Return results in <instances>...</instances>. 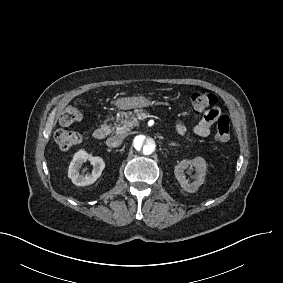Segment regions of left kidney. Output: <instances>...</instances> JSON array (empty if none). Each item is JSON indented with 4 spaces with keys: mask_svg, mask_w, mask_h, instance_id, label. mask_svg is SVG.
<instances>
[{
    "mask_svg": "<svg viewBox=\"0 0 283 283\" xmlns=\"http://www.w3.org/2000/svg\"><path fill=\"white\" fill-rule=\"evenodd\" d=\"M189 165L194 166L196 171L195 181L192 183L188 182L184 174V170L187 169ZM206 170L207 167L205 159L202 157H196L193 160H182L178 163L175 166L174 174L183 190L189 193H194L204 183Z\"/></svg>",
    "mask_w": 283,
    "mask_h": 283,
    "instance_id": "1",
    "label": "left kidney"
}]
</instances>
